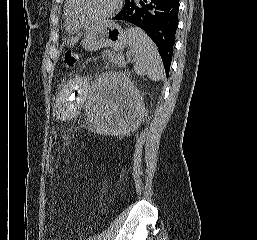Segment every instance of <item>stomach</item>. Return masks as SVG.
Listing matches in <instances>:
<instances>
[{
	"label": "stomach",
	"mask_w": 257,
	"mask_h": 240,
	"mask_svg": "<svg viewBox=\"0 0 257 240\" xmlns=\"http://www.w3.org/2000/svg\"><path fill=\"white\" fill-rule=\"evenodd\" d=\"M127 44L125 31L112 21L102 22L88 31L82 47L86 51H96L103 47H111L115 51H121Z\"/></svg>",
	"instance_id": "stomach-1"
}]
</instances>
